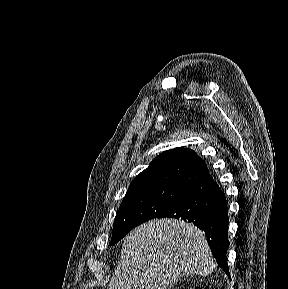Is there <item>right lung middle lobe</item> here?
<instances>
[{
    "label": "right lung middle lobe",
    "mask_w": 288,
    "mask_h": 289,
    "mask_svg": "<svg viewBox=\"0 0 288 289\" xmlns=\"http://www.w3.org/2000/svg\"><path fill=\"white\" fill-rule=\"evenodd\" d=\"M185 194L186 190L171 187L127 192L115 218L109 245H114L139 224L160 216Z\"/></svg>",
    "instance_id": "obj_1"
}]
</instances>
